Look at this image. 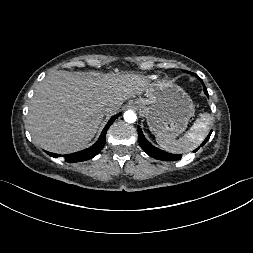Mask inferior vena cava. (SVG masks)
<instances>
[{
  "label": "inferior vena cava",
  "instance_id": "1",
  "mask_svg": "<svg viewBox=\"0 0 253 253\" xmlns=\"http://www.w3.org/2000/svg\"><path fill=\"white\" fill-rule=\"evenodd\" d=\"M113 109H114V106H113V105H107V106L105 107V112L110 113V112H112Z\"/></svg>",
  "mask_w": 253,
  "mask_h": 253
}]
</instances>
